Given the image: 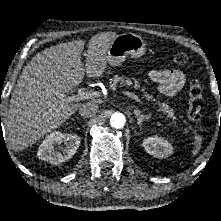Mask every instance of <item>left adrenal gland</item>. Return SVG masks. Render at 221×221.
<instances>
[{
  "label": "left adrenal gland",
  "mask_w": 221,
  "mask_h": 221,
  "mask_svg": "<svg viewBox=\"0 0 221 221\" xmlns=\"http://www.w3.org/2000/svg\"><path fill=\"white\" fill-rule=\"evenodd\" d=\"M134 114L137 117V123L141 127L143 121L147 120L149 116L142 114L137 108L134 109Z\"/></svg>",
  "instance_id": "1"
}]
</instances>
